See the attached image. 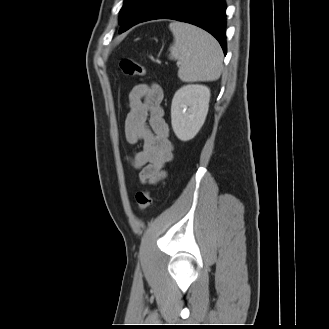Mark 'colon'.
<instances>
[{"label":"colon","mask_w":329,"mask_h":329,"mask_svg":"<svg viewBox=\"0 0 329 329\" xmlns=\"http://www.w3.org/2000/svg\"><path fill=\"white\" fill-rule=\"evenodd\" d=\"M119 66L123 74L127 76L142 77L146 73L145 68L140 63L129 58L122 59L119 63ZM136 202L138 210L141 212L145 211L152 202L151 192L149 190L138 191L136 193Z\"/></svg>","instance_id":"5ec220e1"}]
</instances>
